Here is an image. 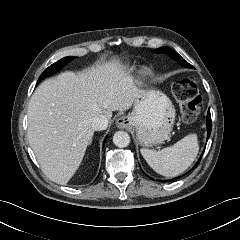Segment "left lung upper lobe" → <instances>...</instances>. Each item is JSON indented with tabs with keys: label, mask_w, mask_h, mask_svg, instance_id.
I'll return each instance as SVG.
<instances>
[{
	"label": "left lung upper lobe",
	"mask_w": 240,
	"mask_h": 240,
	"mask_svg": "<svg viewBox=\"0 0 240 240\" xmlns=\"http://www.w3.org/2000/svg\"><path fill=\"white\" fill-rule=\"evenodd\" d=\"M154 53L159 54V53H164L172 57L174 60L179 62L181 65L188 67V68H193L192 65H190L183 57H181L176 51L169 47H161L159 49H156Z\"/></svg>",
	"instance_id": "left-lung-upper-lobe-1"
}]
</instances>
